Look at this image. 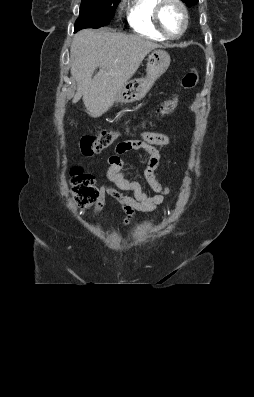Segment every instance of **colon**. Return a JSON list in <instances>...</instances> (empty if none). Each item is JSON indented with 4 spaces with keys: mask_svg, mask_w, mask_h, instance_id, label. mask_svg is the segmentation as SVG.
Listing matches in <instances>:
<instances>
[{
    "mask_svg": "<svg viewBox=\"0 0 254 397\" xmlns=\"http://www.w3.org/2000/svg\"><path fill=\"white\" fill-rule=\"evenodd\" d=\"M198 71L195 68L190 69L181 79L180 86L183 90H189L195 87L198 82ZM178 105V97L174 96L164 100L159 107L160 115L172 113ZM118 138V133L114 130L105 129L100 131L96 136L85 135L80 139V149L83 155L91 156L100 153L105 148L113 144ZM71 186L75 200L81 204L91 203L98 197V192L94 187L92 175L84 173L80 168L72 170Z\"/></svg>",
    "mask_w": 254,
    "mask_h": 397,
    "instance_id": "1",
    "label": "colon"
}]
</instances>
